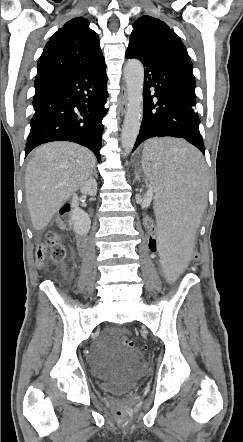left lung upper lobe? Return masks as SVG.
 Wrapping results in <instances>:
<instances>
[{
  "mask_svg": "<svg viewBox=\"0 0 243 442\" xmlns=\"http://www.w3.org/2000/svg\"><path fill=\"white\" fill-rule=\"evenodd\" d=\"M129 46L139 52L192 67L186 47L169 26L157 18L144 15L133 24Z\"/></svg>",
  "mask_w": 243,
  "mask_h": 442,
  "instance_id": "1",
  "label": "left lung upper lobe"
}]
</instances>
